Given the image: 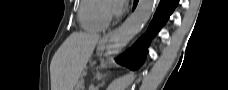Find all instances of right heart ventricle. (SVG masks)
<instances>
[{
    "label": "right heart ventricle",
    "instance_id": "obj_1",
    "mask_svg": "<svg viewBox=\"0 0 228 90\" xmlns=\"http://www.w3.org/2000/svg\"><path fill=\"white\" fill-rule=\"evenodd\" d=\"M107 1L83 0L78 10V19L81 26L91 32H101L107 27L102 17V6Z\"/></svg>",
    "mask_w": 228,
    "mask_h": 90
}]
</instances>
